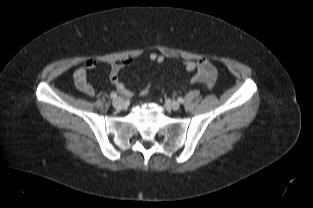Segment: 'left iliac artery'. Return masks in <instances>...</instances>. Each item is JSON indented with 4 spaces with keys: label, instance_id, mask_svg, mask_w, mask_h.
<instances>
[{
    "label": "left iliac artery",
    "instance_id": "obj_1",
    "mask_svg": "<svg viewBox=\"0 0 313 208\" xmlns=\"http://www.w3.org/2000/svg\"><path fill=\"white\" fill-rule=\"evenodd\" d=\"M178 102L183 103V102H184L183 98H182V97H179V98H178Z\"/></svg>",
    "mask_w": 313,
    "mask_h": 208
}]
</instances>
